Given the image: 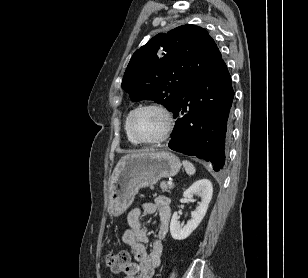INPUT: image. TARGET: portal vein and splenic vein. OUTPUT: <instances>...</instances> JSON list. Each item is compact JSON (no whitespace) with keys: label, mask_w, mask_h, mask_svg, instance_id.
Instances as JSON below:
<instances>
[{"label":"portal vein and splenic vein","mask_w":308,"mask_h":278,"mask_svg":"<svg viewBox=\"0 0 308 278\" xmlns=\"http://www.w3.org/2000/svg\"><path fill=\"white\" fill-rule=\"evenodd\" d=\"M168 185H173V182L172 181H168V183H167Z\"/></svg>","instance_id":"obj_1"}]
</instances>
